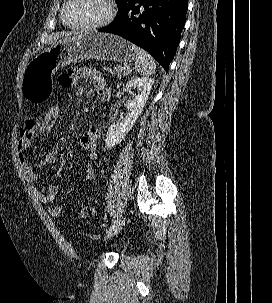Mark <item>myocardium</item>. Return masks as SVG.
Listing matches in <instances>:
<instances>
[{
  "label": "myocardium",
  "mask_w": 272,
  "mask_h": 303,
  "mask_svg": "<svg viewBox=\"0 0 272 303\" xmlns=\"http://www.w3.org/2000/svg\"><path fill=\"white\" fill-rule=\"evenodd\" d=\"M72 2H73V0L66 1V3L63 6V9H62L61 18H62L63 23L66 26L73 28V29H99V28L105 27L112 22V20L114 19L115 15H116V12H117V6H116L115 0H105L108 11H107V14L104 19H102L101 21H98V22H94V23L73 24V23H70L66 17V11Z\"/></svg>",
  "instance_id": "myocardium-1"
}]
</instances>
